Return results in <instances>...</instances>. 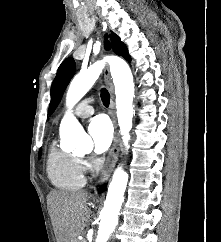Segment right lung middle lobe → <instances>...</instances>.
Masks as SVG:
<instances>
[{
    "label": "right lung middle lobe",
    "mask_w": 221,
    "mask_h": 242,
    "mask_svg": "<svg viewBox=\"0 0 221 242\" xmlns=\"http://www.w3.org/2000/svg\"><path fill=\"white\" fill-rule=\"evenodd\" d=\"M40 155H41V150H40V152H39V158H40Z\"/></svg>",
    "instance_id": "1"
}]
</instances>
